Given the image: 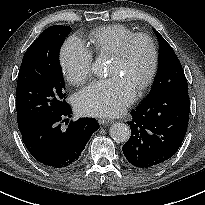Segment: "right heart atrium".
Listing matches in <instances>:
<instances>
[{
	"label": "right heart atrium",
	"mask_w": 205,
	"mask_h": 205,
	"mask_svg": "<svg viewBox=\"0 0 205 205\" xmlns=\"http://www.w3.org/2000/svg\"><path fill=\"white\" fill-rule=\"evenodd\" d=\"M93 56L84 42L70 36L59 52V63L67 81L74 85L85 82L91 76Z\"/></svg>",
	"instance_id": "obj_1"
}]
</instances>
